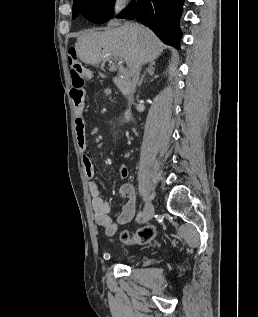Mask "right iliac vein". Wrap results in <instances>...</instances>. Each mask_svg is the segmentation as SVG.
I'll return each mask as SVG.
<instances>
[{"mask_svg": "<svg viewBox=\"0 0 258 317\" xmlns=\"http://www.w3.org/2000/svg\"><path fill=\"white\" fill-rule=\"evenodd\" d=\"M154 216L153 210V202L151 200H145L144 210H143V218H142V225L144 223L150 222Z\"/></svg>", "mask_w": 258, "mask_h": 317, "instance_id": "right-iliac-vein-1", "label": "right iliac vein"}]
</instances>
